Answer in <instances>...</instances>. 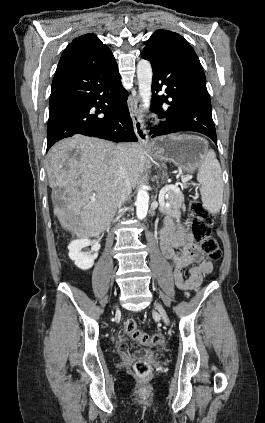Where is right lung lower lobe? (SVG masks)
Instances as JSON below:
<instances>
[{"instance_id":"1","label":"right lung lower lobe","mask_w":265,"mask_h":423,"mask_svg":"<svg viewBox=\"0 0 265 423\" xmlns=\"http://www.w3.org/2000/svg\"><path fill=\"white\" fill-rule=\"evenodd\" d=\"M126 101L127 91L116 63L56 74L49 103L47 151L74 134L136 142Z\"/></svg>"}]
</instances>
